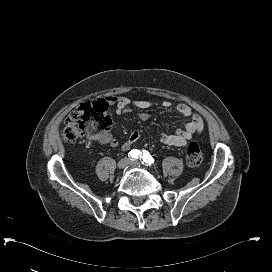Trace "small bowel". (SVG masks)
Listing matches in <instances>:
<instances>
[{"mask_svg":"<svg viewBox=\"0 0 272 272\" xmlns=\"http://www.w3.org/2000/svg\"><path fill=\"white\" fill-rule=\"evenodd\" d=\"M108 100L116 106L117 114H126L131 111V106L138 109H149L153 106V103L143 100H130L123 96H110ZM160 106L165 109H170L172 104L169 101H163ZM177 113H179L186 121V126L184 129L178 130L174 134L160 133L159 141L163 145L183 147L186 146L188 141L192 138L195 133H200L203 131L204 125L201 117L195 114L191 108L185 104H179L176 107ZM138 117L142 120H147L150 118L149 113L140 112ZM140 138V133L138 131H133L129 138L124 142L123 149L129 150ZM99 142L102 144H107L112 147L119 146V141L113 137V135L106 131L101 134Z\"/></svg>","mask_w":272,"mask_h":272,"instance_id":"obj_1","label":"small bowel"}]
</instances>
